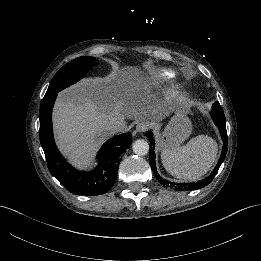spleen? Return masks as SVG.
<instances>
[{
  "label": "spleen",
  "mask_w": 261,
  "mask_h": 261,
  "mask_svg": "<svg viewBox=\"0 0 261 261\" xmlns=\"http://www.w3.org/2000/svg\"><path fill=\"white\" fill-rule=\"evenodd\" d=\"M216 149L211 137L197 135L163 152L162 162L173 176L186 181L198 180L212 166Z\"/></svg>",
  "instance_id": "3e777b00"
}]
</instances>
